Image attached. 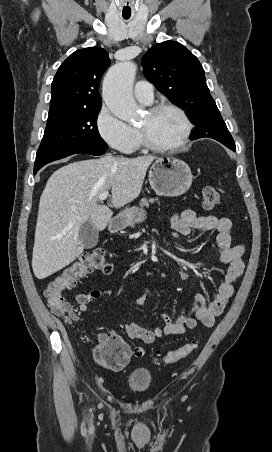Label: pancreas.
Instances as JSON below:
<instances>
[{
    "instance_id": "obj_1",
    "label": "pancreas",
    "mask_w": 272,
    "mask_h": 452,
    "mask_svg": "<svg viewBox=\"0 0 272 452\" xmlns=\"http://www.w3.org/2000/svg\"><path fill=\"white\" fill-rule=\"evenodd\" d=\"M155 201H158V198H150V199H146V198H143V199H141V201H140V203H139V206H140V208H139V210H143V207H149V205H150V203L152 204V203H154ZM131 227H133V223H130L129 224Z\"/></svg>"
}]
</instances>
